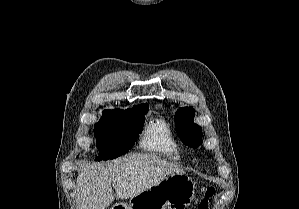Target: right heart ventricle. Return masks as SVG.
<instances>
[{
	"label": "right heart ventricle",
	"mask_w": 299,
	"mask_h": 209,
	"mask_svg": "<svg viewBox=\"0 0 299 209\" xmlns=\"http://www.w3.org/2000/svg\"><path fill=\"white\" fill-rule=\"evenodd\" d=\"M141 145L148 151L162 154L172 160H178L180 157L178 144L163 121H154L146 127Z\"/></svg>",
	"instance_id": "obj_1"
}]
</instances>
